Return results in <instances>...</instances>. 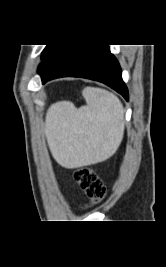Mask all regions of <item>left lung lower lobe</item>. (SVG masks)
I'll use <instances>...</instances> for the list:
<instances>
[{"instance_id":"obj_1","label":"left lung lower lobe","mask_w":166,"mask_h":267,"mask_svg":"<svg viewBox=\"0 0 166 267\" xmlns=\"http://www.w3.org/2000/svg\"><path fill=\"white\" fill-rule=\"evenodd\" d=\"M42 83L59 77H82L102 82L128 100L122 71L108 45H55L38 70Z\"/></svg>"}]
</instances>
